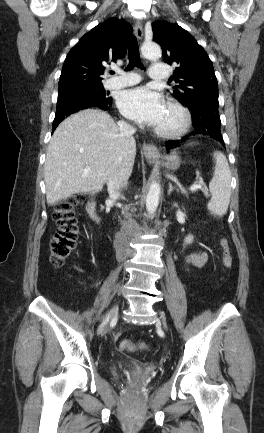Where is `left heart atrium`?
I'll use <instances>...</instances> for the list:
<instances>
[{
    "label": "left heart atrium",
    "instance_id": "1",
    "mask_svg": "<svg viewBox=\"0 0 264 433\" xmlns=\"http://www.w3.org/2000/svg\"><path fill=\"white\" fill-rule=\"evenodd\" d=\"M117 104L127 118L151 126L158 125L166 111L163 97L147 87H137L122 92Z\"/></svg>",
    "mask_w": 264,
    "mask_h": 433
}]
</instances>
